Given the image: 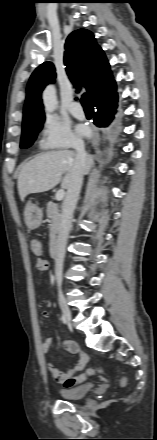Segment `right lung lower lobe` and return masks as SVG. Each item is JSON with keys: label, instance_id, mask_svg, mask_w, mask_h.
Instances as JSON below:
<instances>
[{"label": "right lung lower lobe", "instance_id": "right-lung-lower-lobe-1", "mask_svg": "<svg viewBox=\"0 0 157 440\" xmlns=\"http://www.w3.org/2000/svg\"><path fill=\"white\" fill-rule=\"evenodd\" d=\"M117 102L118 95L117 92L111 94L109 97L103 99L101 102L94 104L96 107V115L94 118V124L98 127H108L111 125L112 130L115 124L112 123L115 119L117 113Z\"/></svg>", "mask_w": 157, "mask_h": 440}]
</instances>
